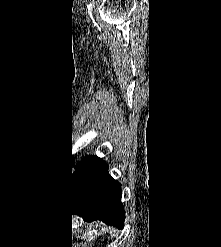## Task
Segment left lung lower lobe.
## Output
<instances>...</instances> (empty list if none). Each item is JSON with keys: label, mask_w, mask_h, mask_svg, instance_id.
I'll list each match as a JSON object with an SVG mask.
<instances>
[{"label": "left lung lower lobe", "mask_w": 221, "mask_h": 247, "mask_svg": "<svg viewBox=\"0 0 221 247\" xmlns=\"http://www.w3.org/2000/svg\"><path fill=\"white\" fill-rule=\"evenodd\" d=\"M67 199L85 221L101 220L120 229L124 224L121 185L108 172V165L97 156L83 158L75 170Z\"/></svg>", "instance_id": "obj_1"}]
</instances>
